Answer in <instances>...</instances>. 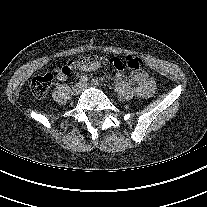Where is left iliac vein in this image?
Here are the masks:
<instances>
[{
  "mask_svg": "<svg viewBox=\"0 0 207 207\" xmlns=\"http://www.w3.org/2000/svg\"><path fill=\"white\" fill-rule=\"evenodd\" d=\"M92 86L96 87V85H92ZM87 87H89V85L85 84L84 88H87Z\"/></svg>",
  "mask_w": 207,
  "mask_h": 207,
  "instance_id": "4c4485c4",
  "label": "left iliac vein"
}]
</instances>
